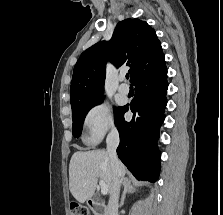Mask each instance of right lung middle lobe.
<instances>
[{
    "label": "right lung middle lobe",
    "mask_w": 223,
    "mask_h": 215,
    "mask_svg": "<svg viewBox=\"0 0 223 215\" xmlns=\"http://www.w3.org/2000/svg\"><path fill=\"white\" fill-rule=\"evenodd\" d=\"M102 101H103V98L91 103L82 104V105L72 108V119H73L72 134L74 137L78 138L81 135L84 118L87 112L95 105L100 104ZM122 110H123V107H118L115 109V112H114L115 123L117 122L119 116L121 115Z\"/></svg>",
    "instance_id": "dd1d6c3e"
}]
</instances>
